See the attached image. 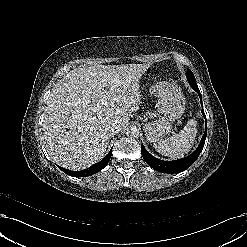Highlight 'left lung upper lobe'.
<instances>
[{"instance_id":"1","label":"left lung upper lobe","mask_w":247,"mask_h":247,"mask_svg":"<svg viewBox=\"0 0 247 247\" xmlns=\"http://www.w3.org/2000/svg\"><path fill=\"white\" fill-rule=\"evenodd\" d=\"M187 78L189 83H196L195 77L190 69H187Z\"/></svg>"}]
</instances>
